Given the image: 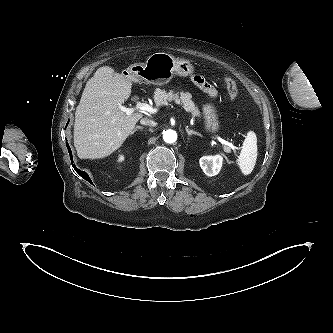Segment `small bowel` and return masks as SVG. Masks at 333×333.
<instances>
[{"label": "small bowel", "mask_w": 333, "mask_h": 333, "mask_svg": "<svg viewBox=\"0 0 333 333\" xmlns=\"http://www.w3.org/2000/svg\"><path fill=\"white\" fill-rule=\"evenodd\" d=\"M193 81L195 85L201 89L204 93H206L209 97L215 98L217 96V92L215 88L210 85L202 76L195 75L193 77Z\"/></svg>", "instance_id": "1"}]
</instances>
